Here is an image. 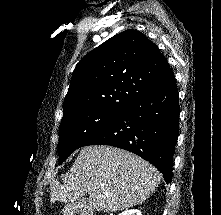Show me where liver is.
<instances>
[{
    "label": "liver",
    "instance_id": "6515ba94",
    "mask_svg": "<svg viewBox=\"0 0 221 215\" xmlns=\"http://www.w3.org/2000/svg\"><path fill=\"white\" fill-rule=\"evenodd\" d=\"M50 185V202L73 203L89 194V208L98 212L128 210L145 202L161 174L139 156L111 146L81 149L70 170Z\"/></svg>",
    "mask_w": 221,
    "mask_h": 215
}]
</instances>
